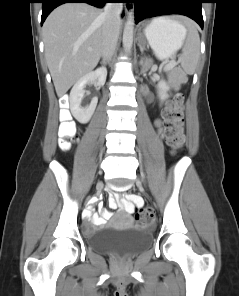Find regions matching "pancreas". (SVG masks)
I'll return each instance as SVG.
<instances>
[{"instance_id":"obj_1","label":"pancreas","mask_w":239,"mask_h":296,"mask_svg":"<svg viewBox=\"0 0 239 296\" xmlns=\"http://www.w3.org/2000/svg\"><path fill=\"white\" fill-rule=\"evenodd\" d=\"M166 70H168V71H172V69H166Z\"/></svg>"}]
</instances>
